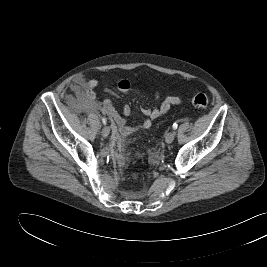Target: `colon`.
<instances>
[{
  "mask_svg": "<svg viewBox=\"0 0 267 267\" xmlns=\"http://www.w3.org/2000/svg\"><path fill=\"white\" fill-rule=\"evenodd\" d=\"M208 98L205 94L203 93H199L196 94L193 98H192V104L195 108L199 109V110H204L207 108L208 106ZM140 178V173L135 172L132 175V180L135 182Z\"/></svg>",
  "mask_w": 267,
  "mask_h": 267,
  "instance_id": "1",
  "label": "colon"
}]
</instances>
